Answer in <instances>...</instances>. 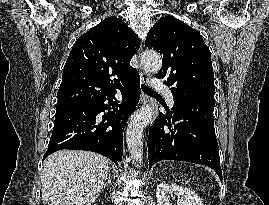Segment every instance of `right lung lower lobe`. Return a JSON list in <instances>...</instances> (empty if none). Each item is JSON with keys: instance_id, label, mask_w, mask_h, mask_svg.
<instances>
[{"instance_id": "1", "label": "right lung lower lobe", "mask_w": 269, "mask_h": 205, "mask_svg": "<svg viewBox=\"0 0 269 205\" xmlns=\"http://www.w3.org/2000/svg\"><path fill=\"white\" fill-rule=\"evenodd\" d=\"M119 90L123 97L121 104L113 92L91 101L57 106L52 136L43 159L55 151L73 149L96 152L118 164L122 160L125 122L140 98L138 72ZM105 110L108 112L102 122H97V115Z\"/></svg>"}]
</instances>
